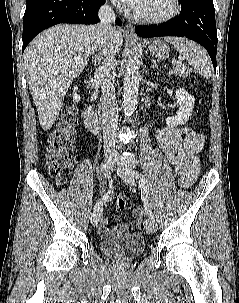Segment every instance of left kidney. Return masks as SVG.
Segmentation results:
<instances>
[{
	"label": "left kidney",
	"instance_id": "1",
	"mask_svg": "<svg viewBox=\"0 0 239 303\" xmlns=\"http://www.w3.org/2000/svg\"><path fill=\"white\" fill-rule=\"evenodd\" d=\"M176 104L179 106L175 117H167L166 124L170 127L185 124L193 110L195 99L185 89L179 88L176 90Z\"/></svg>",
	"mask_w": 239,
	"mask_h": 303
}]
</instances>
